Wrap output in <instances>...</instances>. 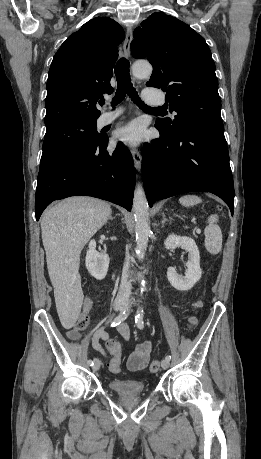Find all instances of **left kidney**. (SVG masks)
I'll return each mask as SVG.
<instances>
[{
    "mask_svg": "<svg viewBox=\"0 0 261 459\" xmlns=\"http://www.w3.org/2000/svg\"><path fill=\"white\" fill-rule=\"evenodd\" d=\"M164 246L167 250L181 247L188 252V262L186 263L187 272L184 277L177 274L175 268L169 267L167 278L172 287L179 291L190 290L195 283L201 278L200 254L195 241L187 236L169 235Z\"/></svg>",
    "mask_w": 261,
    "mask_h": 459,
    "instance_id": "1",
    "label": "left kidney"
}]
</instances>
